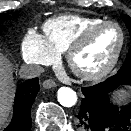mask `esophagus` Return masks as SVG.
Masks as SVG:
<instances>
[{
  "mask_svg": "<svg viewBox=\"0 0 131 131\" xmlns=\"http://www.w3.org/2000/svg\"><path fill=\"white\" fill-rule=\"evenodd\" d=\"M42 85L45 89H50V88H53L56 86V82L52 79H47V80L43 81Z\"/></svg>",
  "mask_w": 131,
  "mask_h": 131,
  "instance_id": "34e87169",
  "label": "esophagus"
}]
</instances>
